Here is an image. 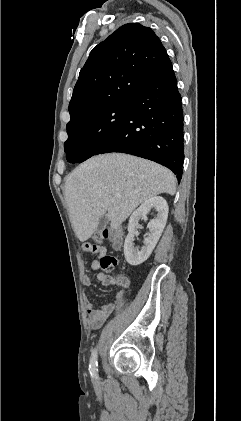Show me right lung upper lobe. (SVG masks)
<instances>
[{"instance_id":"right-lung-upper-lobe-1","label":"right lung upper lobe","mask_w":241,"mask_h":421,"mask_svg":"<svg viewBox=\"0 0 241 421\" xmlns=\"http://www.w3.org/2000/svg\"><path fill=\"white\" fill-rule=\"evenodd\" d=\"M169 57L149 27L129 23L118 28L90 53L69 103L70 121L129 98Z\"/></svg>"}]
</instances>
